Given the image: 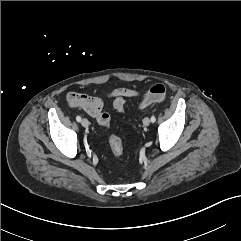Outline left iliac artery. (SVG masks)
I'll return each instance as SVG.
<instances>
[{"instance_id": "left-iliac-artery-1", "label": "left iliac artery", "mask_w": 241, "mask_h": 241, "mask_svg": "<svg viewBox=\"0 0 241 241\" xmlns=\"http://www.w3.org/2000/svg\"><path fill=\"white\" fill-rule=\"evenodd\" d=\"M155 121H156L155 116H152V117H151V122L154 123Z\"/></svg>"}]
</instances>
